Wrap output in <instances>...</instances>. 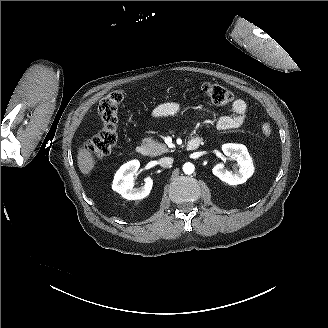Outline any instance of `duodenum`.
Listing matches in <instances>:
<instances>
[{
    "label": "duodenum",
    "instance_id": "1",
    "mask_svg": "<svg viewBox=\"0 0 328 328\" xmlns=\"http://www.w3.org/2000/svg\"><path fill=\"white\" fill-rule=\"evenodd\" d=\"M201 143H202V138L195 137V138L190 139L187 142L186 148L189 151H193V150L198 149L199 146L201 145ZM136 152L141 156H146L148 154V148L145 144H139L136 147Z\"/></svg>",
    "mask_w": 328,
    "mask_h": 328
}]
</instances>
